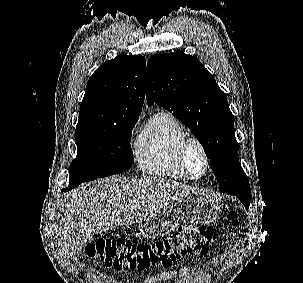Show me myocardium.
<instances>
[{
	"mask_svg": "<svg viewBox=\"0 0 303 283\" xmlns=\"http://www.w3.org/2000/svg\"><path fill=\"white\" fill-rule=\"evenodd\" d=\"M191 147H196L203 158L204 170L203 172L196 176L192 173L189 163H188V153ZM178 158L182 169L184 170L187 177L191 180H201L206 176L210 168V158L204 144L196 137L187 136L181 142L178 149Z\"/></svg>",
	"mask_w": 303,
	"mask_h": 283,
	"instance_id": "myocardium-1",
	"label": "myocardium"
}]
</instances>
